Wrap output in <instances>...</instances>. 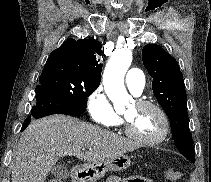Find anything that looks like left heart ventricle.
Instances as JSON below:
<instances>
[{
  "mask_svg": "<svg viewBox=\"0 0 211 182\" xmlns=\"http://www.w3.org/2000/svg\"><path fill=\"white\" fill-rule=\"evenodd\" d=\"M124 117L129 121L132 131L141 138L156 137L163 128V122L158 112L152 108H142L133 104Z\"/></svg>",
  "mask_w": 211,
  "mask_h": 182,
  "instance_id": "1",
  "label": "left heart ventricle"
}]
</instances>
